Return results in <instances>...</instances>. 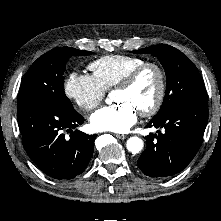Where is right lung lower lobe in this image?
Wrapping results in <instances>:
<instances>
[{
    "label": "right lung lower lobe",
    "mask_w": 221,
    "mask_h": 221,
    "mask_svg": "<svg viewBox=\"0 0 221 221\" xmlns=\"http://www.w3.org/2000/svg\"><path fill=\"white\" fill-rule=\"evenodd\" d=\"M17 120L27 154L45 174L72 179L85 170L93 154L96 134L72 131L84 121L76 111L30 102L17 107Z\"/></svg>",
    "instance_id": "1"
}]
</instances>
